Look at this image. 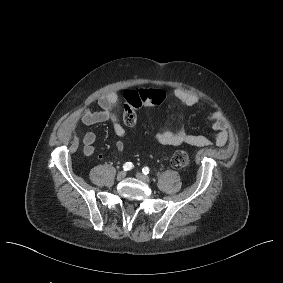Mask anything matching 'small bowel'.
Segmentation results:
<instances>
[{"mask_svg": "<svg viewBox=\"0 0 283 283\" xmlns=\"http://www.w3.org/2000/svg\"><path fill=\"white\" fill-rule=\"evenodd\" d=\"M174 97L185 107H192L199 101L198 96L189 93L182 88H175ZM118 96L116 93L103 95L98 99L100 110L93 111L84 108L79 114L69 118L65 124L66 132H72L79 122L91 126L102 122H110L116 135L115 149L121 152L124 149L125 142L129 140L126 130L120 124L116 112ZM207 121L216 132L214 143L217 146H223L228 140V122L221 111H214L207 117ZM157 142L163 145L179 146L187 144L195 147L210 146L213 142L202 135H193L187 133L184 129L176 131L166 130L155 134ZM80 140L83 144V153L85 156H92L95 152L96 135L93 132L80 133ZM101 158V156H99Z\"/></svg>", "mask_w": 283, "mask_h": 283, "instance_id": "1", "label": "small bowel"}]
</instances>
